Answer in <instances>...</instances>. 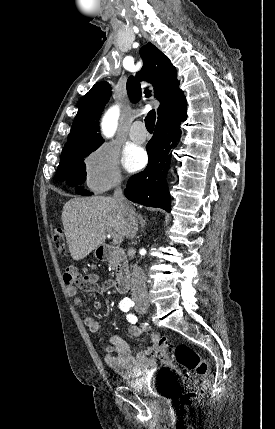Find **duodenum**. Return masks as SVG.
Wrapping results in <instances>:
<instances>
[{"instance_id": "duodenum-1", "label": "duodenum", "mask_w": 275, "mask_h": 429, "mask_svg": "<svg viewBox=\"0 0 275 429\" xmlns=\"http://www.w3.org/2000/svg\"><path fill=\"white\" fill-rule=\"evenodd\" d=\"M97 256L101 261L113 263L116 271L114 287L119 293L126 292L130 284V273L125 252L110 245H101L97 249Z\"/></svg>"}]
</instances>
